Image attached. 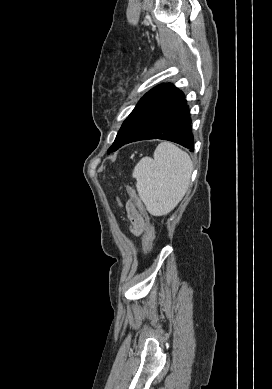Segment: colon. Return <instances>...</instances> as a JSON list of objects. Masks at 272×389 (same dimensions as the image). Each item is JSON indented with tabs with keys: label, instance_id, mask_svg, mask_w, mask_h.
<instances>
[{
	"label": "colon",
	"instance_id": "colon-1",
	"mask_svg": "<svg viewBox=\"0 0 272 389\" xmlns=\"http://www.w3.org/2000/svg\"><path fill=\"white\" fill-rule=\"evenodd\" d=\"M128 191H129V195H130L132 201L136 204L137 208L139 209V211L141 212V214L145 218V232H144V236H143V245H144L146 253L149 254L151 252V250L153 249L154 240H155L154 228H153V225L151 224V222L147 216L145 208H144L142 202L140 201L138 195L136 194L135 190L132 188H128Z\"/></svg>",
	"mask_w": 272,
	"mask_h": 389
}]
</instances>
